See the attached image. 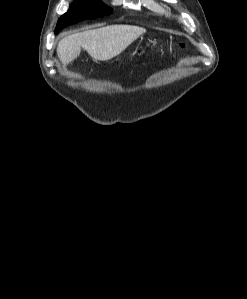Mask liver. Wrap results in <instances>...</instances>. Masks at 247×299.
<instances>
[{
  "instance_id": "liver-1",
  "label": "liver",
  "mask_w": 247,
  "mask_h": 299,
  "mask_svg": "<svg viewBox=\"0 0 247 299\" xmlns=\"http://www.w3.org/2000/svg\"><path fill=\"white\" fill-rule=\"evenodd\" d=\"M146 29L133 25H109L74 33L61 39L57 55L65 68L77 59L81 48L96 61H108L122 53Z\"/></svg>"
}]
</instances>
